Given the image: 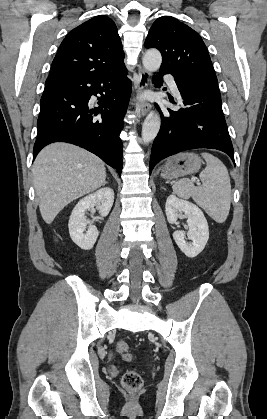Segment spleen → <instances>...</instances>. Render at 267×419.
Returning a JSON list of instances; mask_svg holds the SVG:
<instances>
[{
  "instance_id": "3e777b00",
  "label": "spleen",
  "mask_w": 267,
  "mask_h": 419,
  "mask_svg": "<svg viewBox=\"0 0 267 419\" xmlns=\"http://www.w3.org/2000/svg\"><path fill=\"white\" fill-rule=\"evenodd\" d=\"M207 165L199 177L202 186L196 187L187 178L173 186V192L183 199L192 198L217 223L228 217L231 204V184L226 166L214 155L202 153Z\"/></svg>"
}]
</instances>
